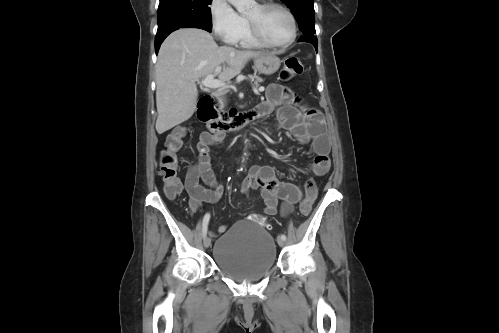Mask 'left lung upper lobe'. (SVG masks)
Returning a JSON list of instances; mask_svg holds the SVG:
<instances>
[{"mask_svg": "<svg viewBox=\"0 0 499 333\" xmlns=\"http://www.w3.org/2000/svg\"><path fill=\"white\" fill-rule=\"evenodd\" d=\"M295 16L302 34L314 35L315 11L313 0H281Z\"/></svg>", "mask_w": 499, "mask_h": 333, "instance_id": "1", "label": "left lung upper lobe"}]
</instances>
